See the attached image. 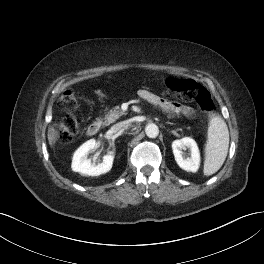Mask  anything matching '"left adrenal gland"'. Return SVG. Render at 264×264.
<instances>
[{"label": "left adrenal gland", "mask_w": 264, "mask_h": 264, "mask_svg": "<svg viewBox=\"0 0 264 264\" xmlns=\"http://www.w3.org/2000/svg\"><path fill=\"white\" fill-rule=\"evenodd\" d=\"M166 124L174 125V123H171V122H166Z\"/></svg>", "instance_id": "a2214340"}]
</instances>
